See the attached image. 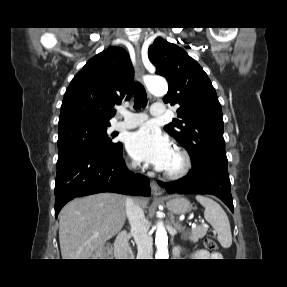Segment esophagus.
I'll use <instances>...</instances> for the list:
<instances>
[{"label": "esophagus", "instance_id": "34e87169", "mask_svg": "<svg viewBox=\"0 0 287 287\" xmlns=\"http://www.w3.org/2000/svg\"><path fill=\"white\" fill-rule=\"evenodd\" d=\"M135 52H136V75H137V79L140 82H143L144 80V75H145V69L142 63V59H141V53H140V46L137 44L135 46ZM150 187H151V191L154 195H161V190L159 185L157 184L156 181L152 180L150 181Z\"/></svg>", "mask_w": 287, "mask_h": 287}]
</instances>
